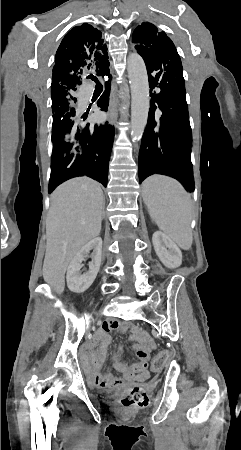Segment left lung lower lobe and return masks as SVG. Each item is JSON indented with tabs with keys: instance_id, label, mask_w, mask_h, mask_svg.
<instances>
[{
	"instance_id": "1",
	"label": "left lung lower lobe",
	"mask_w": 241,
	"mask_h": 450,
	"mask_svg": "<svg viewBox=\"0 0 241 450\" xmlns=\"http://www.w3.org/2000/svg\"><path fill=\"white\" fill-rule=\"evenodd\" d=\"M144 61L151 101L139 152L140 183L158 173L171 176L188 191H194L192 134L180 57L171 41L159 57ZM155 87L158 93H152Z\"/></svg>"
}]
</instances>
